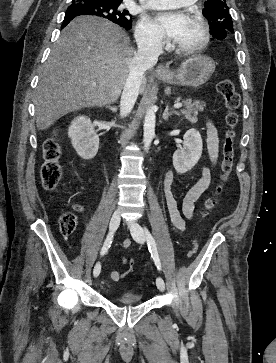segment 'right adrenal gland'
<instances>
[{
  "label": "right adrenal gland",
  "instance_id": "1",
  "mask_svg": "<svg viewBox=\"0 0 276 363\" xmlns=\"http://www.w3.org/2000/svg\"><path fill=\"white\" fill-rule=\"evenodd\" d=\"M108 109H110L112 112L116 113L117 112V107H111V106H107Z\"/></svg>",
  "mask_w": 276,
  "mask_h": 363
}]
</instances>
